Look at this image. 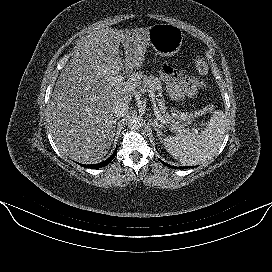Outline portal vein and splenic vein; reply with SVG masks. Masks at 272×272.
<instances>
[{
    "mask_svg": "<svg viewBox=\"0 0 272 272\" xmlns=\"http://www.w3.org/2000/svg\"><path fill=\"white\" fill-rule=\"evenodd\" d=\"M148 91V94H149V97L151 99V103H152V106H153V110H154V113L157 117V119L163 123V124H166L167 125V122L166 120L161 116V114L159 113V110H158V107L156 105V101H155V94L152 90H147ZM194 130L195 133H198V130L197 129H192Z\"/></svg>",
    "mask_w": 272,
    "mask_h": 272,
    "instance_id": "portal-vein-and-splenic-vein-1",
    "label": "portal vein and splenic vein"
}]
</instances>
